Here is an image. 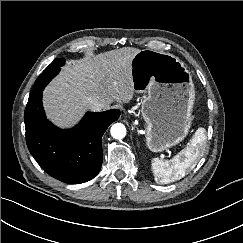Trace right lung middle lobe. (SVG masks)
<instances>
[{
    "mask_svg": "<svg viewBox=\"0 0 243 243\" xmlns=\"http://www.w3.org/2000/svg\"><path fill=\"white\" fill-rule=\"evenodd\" d=\"M65 64V59H55L48 67H60Z\"/></svg>",
    "mask_w": 243,
    "mask_h": 243,
    "instance_id": "dd1d6c3e",
    "label": "right lung middle lobe"
}]
</instances>
